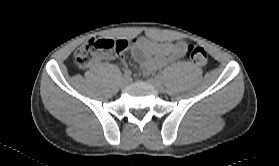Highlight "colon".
I'll return each mask as SVG.
<instances>
[{
	"instance_id": "obj_1",
	"label": "colon",
	"mask_w": 279,
	"mask_h": 166,
	"mask_svg": "<svg viewBox=\"0 0 279 166\" xmlns=\"http://www.w3.org/2000/svg\"><path fill=\"white\" fill-rule=\"evenodd\" d=\"M127 47L126 40L90 39L76 50L75 63L80 68H86L100 57L111 55L113 52L122 53ZM187 53L194 64L204 66L207 63L208 55L203 47L191 44L187 47Z\"/></svg>"
}]
</instances>
